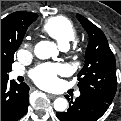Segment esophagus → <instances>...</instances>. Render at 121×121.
<instances>
[{
    "label": "esophagus",
    "instance_id": "esophagus-1",
    "mask_svg": "<svg viewBox=\"0 0 121 121\" xmlns=\"http://www.w3.org/2000/svg\"><path fill=\"white\" fill-rule=\"evenodd\" d=\"M48 95V97L49 98H51V99H55L57 96L56 95H54V94H47Z\"/></svg>",
    "mask_w": 121,
    "mask_h": 121
}]
</instances>
